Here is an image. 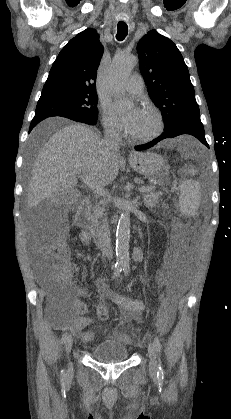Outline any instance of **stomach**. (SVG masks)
<instances>
[{
	"label": "stomach",
	"mask_w": 231,
	"mask_h": 419,
	"mask_svg": "<svg viewBox=\"0 0 231 419\" xmlns=\"http://www.w3.org/2000/svg\"><path fill=\"white\" fill-rule=\"evenodd\" d=\"M132 168L153 180H162L164 170V159L161 155L154 152H141L133 154L129 158Z\"/></svg>",
	"instance_id": "1"
}]
</instances>
